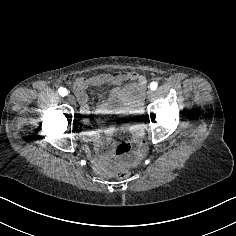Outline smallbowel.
<instances>
[{"mask_svg": "<svg viewBox=\"0 0 236 236\" xmlns=\"http://www.w3.org/2000/svg\"><path fill=\"white\" fill-rule=\"evenodd\" d=\"M133 83L114 88L107 100L93 110L85 90L88 86H97L104 81L121 84L125 81ZM146 80L135 72L116 73L111 76L95 75L76 81L75 90L80 102V112L87 126L84 138L95 146V155L90 157L95 171L102 176H109L113 170L132 166L140 162L146 153V142L143 136L141 109ZM95 114L100 123L108 116H115L106 128L98 130L90 128L91 116ZM119 132H128L136 145L131 149L130 143L116 145L113 136Z\"/></svg>", "mask_w": 236, "mask_h": 236, "instance_id": "obj_1", "label": "small bowel"}]
</instances>
